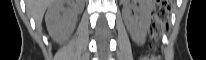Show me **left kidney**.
Here are the masks:
<instances>
[{"label": "left kidney", "instance_id": "left-kidney-1", "mask_svg": "<svg viewBox=\"0 0 206 60\" xmlns=\"http://www.w3.org/2000/svg\"><path fill=\"white\" fill-rule=\"evenodd\" d=\"M138 3L139 16H132L128 9H125L123 12L124 20L130 35L136 41H140L145 35V32L150 24L152 8L151 0H138Z\"/></svg>", "mask_w": 206, "mask_h": 60}]
</instances>
